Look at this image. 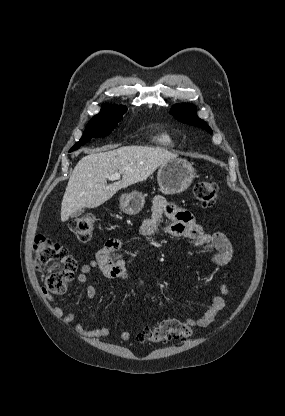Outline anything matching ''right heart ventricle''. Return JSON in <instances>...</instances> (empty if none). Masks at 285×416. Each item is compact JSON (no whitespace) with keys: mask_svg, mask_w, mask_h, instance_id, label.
<instances>
[{"mask_svg":"<svg viewBox=\"0 0 285 416\" xmlns=\"http://www.w3.org/2000/svg\"><path fill=\"white\" fill-rule=\"evenodd\" d=\"M154 140L156 143L162 146H170L173 144V139L169 133L166 131L159 132L155 137Z\"/></svg>","mask_w":285,"mask_h":416,"instance_id":"obj_1","label":"right heart ventricle"}]
</instances>
